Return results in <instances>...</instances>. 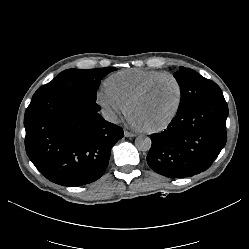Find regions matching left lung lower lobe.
Returning a JSON list of instances; mask_svg holds the SVG:
<instances>
[{"label": "left lung lower lobe", "instance_id": "0a47b994", "mask_svg": "<svg viewBox=\"0 0 249 249\" xmlns=\"http://www.w3.org/2000/svg\"><path fill=\"white\" fill-rule=\"evenodd\" d=\"M227 116L224 97L197 102L177 113L167 129L151 137L148 165L170 178L205 171L226 143Z\"/></svg>", "mask_w": 249, "mask_h": 249}]
</instances>
